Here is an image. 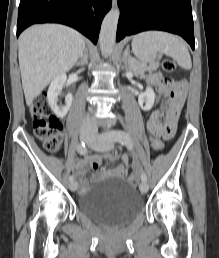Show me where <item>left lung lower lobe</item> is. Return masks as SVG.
<instances>
[{"mask_svg":"<svg viewBox=\"0 0 219 258\" xmlns=\"http://www.w3.org/2000/svg\"><path fill=\"white\" fill-rule=\"evenodd\" d=\"M120 17L117 41L146 30H163L182 36L194 49L190 0H117Z\"/></svg>","mask_w":219,"mask_h":258,"instance_id":"0a47b994","label":"left lung lower lobe"}]
</instances>
